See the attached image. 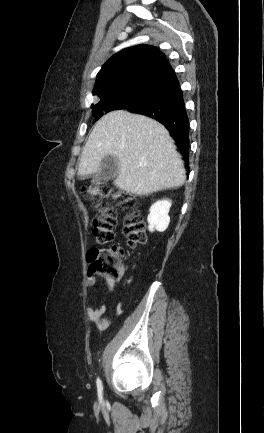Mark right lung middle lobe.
<instances>
[{
  "mask_svg": "<svg viewBox=\"0 0 264 433\" xmlns=\"http://www.w3.org/2000/svg\"><path fill=\"white\" fill-rule=\"evenodd\" d=\"M142 84L125 88L121 91L108 94L100 98V101L92 105L93 114L98 120L104 114L115 110L125 109L133 101Z\"/></svg>",
  "mask_w": 264,
  "mask_h": 433,
  "instance_id": "obj_1",
  "label": "right lung middle lobe"
}]
</instances>
